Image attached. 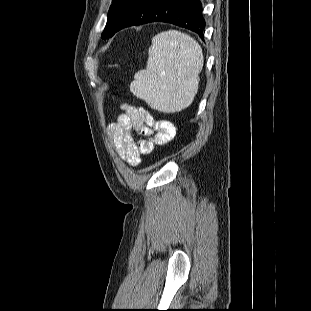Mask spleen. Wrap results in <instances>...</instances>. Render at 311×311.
<instances>
[{
  "label": "spleen",
  "instance_id": "obj_1",
  "mask_svg": "<svg viewBox=\"0 0 311 311\" xmlns=\"http://www.w3.org/2000/svg\"><path fill=\"white\" fill-rule=\"evenodd\" d=\"M146 69L134 75L130 91L151 108L175 113L193 101L203 68L202 48L177 30L158 33L148 51Z\"/></svg>",
  "mask_w": 311,
  "mask_h": 311
}]
</instances>
